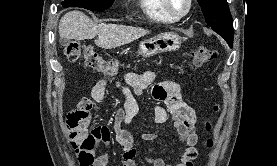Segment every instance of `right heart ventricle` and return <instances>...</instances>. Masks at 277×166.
<instances>
[{"label":"right heart ventricle","instance_id":"obj_1","mask_svg":"<svg viewBox=\"0 0 277 166\" xmlns=\"http://www.w3.org/2000/svg\"><path fill=\"white\" fill-rule=\"evenodd\" d=\"M138 3L144 14L155 22L171 23L175 21V19L163 9L161 0H138Z\"/></svg>","mask_w":277,"mask_h":166}]
</instances>
